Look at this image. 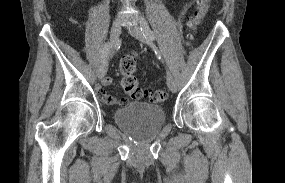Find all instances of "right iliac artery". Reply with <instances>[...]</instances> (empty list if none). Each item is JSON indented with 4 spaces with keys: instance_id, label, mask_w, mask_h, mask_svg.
I'll list each match as a JSON object with an SVG mask.
<instances>
[{
    "instance_id": "82829eb1",
    "label": "right iliac artery",
    "mask_w": 285,
    "mask_h": 183,
    "mask_svg": "<svg viewBox=\"0 0 285 183\" xmlns=\"http://www.w3.org/2000/svg\"><path fill=\"white\" fill-rule=\"evenodd\" d=\"M110 48H111V43H110V42H107V43L104 45V48H103V51H102L101 62H104L105 59L107 58Z\"/></svg>"
}]
</instances>
